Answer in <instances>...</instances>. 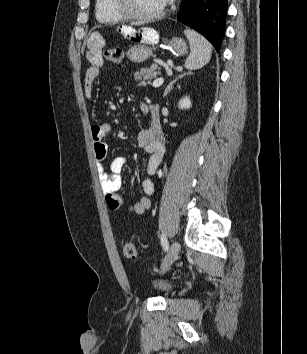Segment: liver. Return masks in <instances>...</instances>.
I'll return each instance as SVG.
<instances>
[{"label":"liver","instance_id":"6515ba94","mask_svg":"<svg viewBox=\"0 0 307 354\" xmlns=\"http://www.w3.org/2000/svg\"><path fill=\"white\" fill-rule=\"evenodd\" d=\"M142 23L141 22H139V23H136V24H134V25H141Z\"/></svg>","mask_w":307,"mask_h":354}]
</instances>
